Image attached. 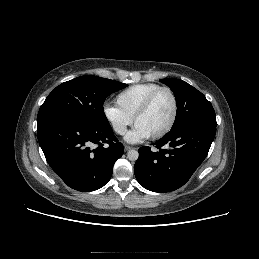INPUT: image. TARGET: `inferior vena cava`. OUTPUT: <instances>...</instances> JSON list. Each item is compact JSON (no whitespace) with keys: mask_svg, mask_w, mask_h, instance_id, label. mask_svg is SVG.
<instances>
[{"mask_svg":"<svg viewBox=\"0 0 259 259\" xmlns=\"http://www.w3.org/2000/svg\"><path fill=\"white\" fill-rule=\"evenodd\" d=\"M116 132L123 135L126 132V129L124 127H118L116 128Z\"/></svg>","mask_w":259,"mask_h":259,"instance_id":"1","label":"inferior vena cava"}]
</instances>
